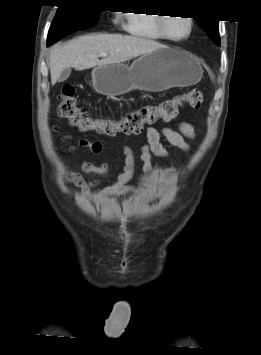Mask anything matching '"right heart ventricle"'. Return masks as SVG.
I'll list each match as a JSON object with an SVG mask.
<instances>
[{
  "label": "right heart ventricle",
  "mask_w": 261,
  "mask_h": 355,
  "mask_svg": "<svg viewBox=\"0 0 261 355\" xmlns=\"http://www.w3.org/2000/svg\"><path fill=\"white\" fill-rule=\"evenodd\" d=\"M127 31L137 37L152 39V40H164L159 28L158 15H152L144 12H130L126 15Z\"/></svg>",
  "instance_id": "1"
}]
</instances>
